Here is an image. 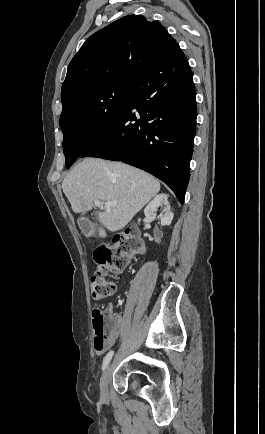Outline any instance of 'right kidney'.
<instances>
[{
  "label": "right kidney",
  "instance_id": "ca27d5eb",
  "mask_svg": "<svg viewBox=\"0 0 265 434\" xmlns=\"http://www.w3.org/2000/svg\"><path fill=\"white\" fill-rule=\"evenodd\" d=\"M160 206H165L164 216H159L161 226H170L174 218V214L171 212L167 194H158V196L153 198L152 202H150V204H148L144 210L145 218L146 220H155L157 216L156 210H158ZM138 222H141V220H138Z\"/></svg>",
  "mask_w": 265,
  "mask_h": 434
}]
</instances>
